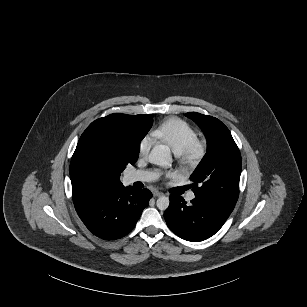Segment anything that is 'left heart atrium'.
Masks as SVG:
<instances>
[{
    "label": "left heart atrium",
    "mask_w": 307,
    "mask_h": 307,
    "mask_svg": "<svg viewBox=\"0 0 307 307\" xmlns=\"http://www.w3.org/2000/svg\"><path fill=\"white\" fill-rule=\"evenodd\" d=\"M156 173L161 180H166L169 178H174L178 176L179 172L174 168H165V167H159L156 169Z\"/></svg>",
    "instance_id": "left-heart-atrium-1"
}]
</instances>
